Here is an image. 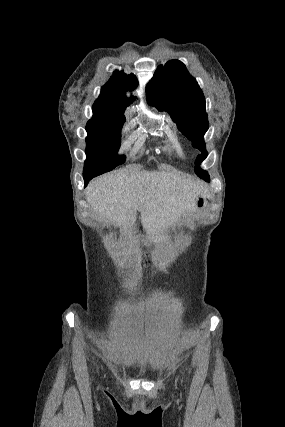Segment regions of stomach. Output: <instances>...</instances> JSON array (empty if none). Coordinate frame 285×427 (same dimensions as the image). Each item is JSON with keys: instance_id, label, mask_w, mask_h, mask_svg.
I'll return each instance as SVG.
<instances>
[{"instance_id": "stomach-1", "label": "stomach", "mask_w": 285, "mask_h": 427, "mask_svg": "<svg viewBox=\"0 0 285 427\" xmlns=\"http://www.w3.org/2000/svg\"><path fill=\"white\" fill-rule=\"evenodd\" d=\"M206 207H207L206 199L202 195H199L196 200V210L203 211L205 210ZM153 245L154 244L151 242L147 244L148 247H152Z\"/></svg>"}]
</instances>
